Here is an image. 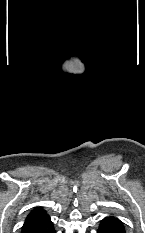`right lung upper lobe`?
I'll return each mask as SVG.
<instances>
[{"mask_svg": "<svg viewBox=\"0 0 145 233\" xmlns=\"http://www.w3.org/2000/svg\"><path fill=\"white\" fill-rule=\"evenodd\" d=\"M47 217H49V215L45 210H43L41 207H35L26 217L24 225L22 226V233Z\"/></svg>", "mask_w": 145, "mask_h": 233, "instance_id": "obj_1", "label": "right lung upper lobe"}]
</instances>
